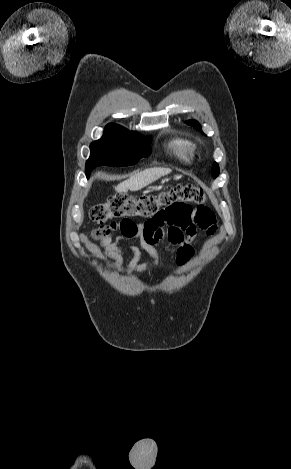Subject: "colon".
<instances>
[{
    "label": "colon",
    "instance_id": "colon-1",
    "mask_svg": "<svg viewBox=\"0 0 291 469\" xmlns=\"http://www.w3.org/2000/svg\"><path fill=\"white\" fill-rule=\"evenodd\" d=\"M206 200L203 188L192 185H176L158 194L142 195L138 198L117 194L103 203L93 206L90 219L101 225L99 230L106 231L105 223L111 219L129 220L133 217L154 219L165 216L168 212L188 211L187 203L197 204L201 218L207 216L210 209L204 206Z\"/></svg>",
    "mask_w": 291,
    "mask_h": 469
}]
</instances>
